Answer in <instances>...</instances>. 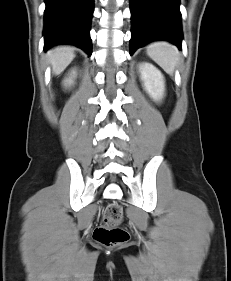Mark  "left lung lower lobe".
I'll list each match as a JSON object with an SVG mask.
<instances>
[{
    "mask_svg": "<svg viewBox=\"0 0 231 281\" xmlns=\"http://www.w3.org/2000/svg\"><path fill=\"white\" fill-rule=\"evenodd\" d=\"M180 0H130L132 38L130 54L145 44L169 41L181 49Z\"/></svg>",
    "mask_w": 231,
    "mask_h": 281,
    "instance_id": "obj_1",
    "label": "left lung lower lobe"
}]
</instances>
